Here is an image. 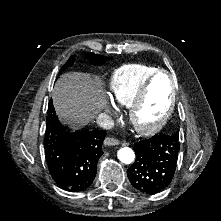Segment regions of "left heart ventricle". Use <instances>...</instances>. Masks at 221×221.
Wrapping results in <instances>:
<instances>
[{
    "label": "left heart ventricle",
    "mask_w": 221,
    "mask_h": 221,
    "mask_svg": "<svg viewBox=\"0 0 221 221\" xmlns=\"http://www.w3.org/2000/svg\"><path fill=\"white\" fill-rule=\"evenodd\" d=\"M171 96V82L167 75H159L153 82L147 99L137 114L139 124L158 122L166 112Z\"/></svg>",
    "instance_id": "b2bd125f"
}]
</instances>
